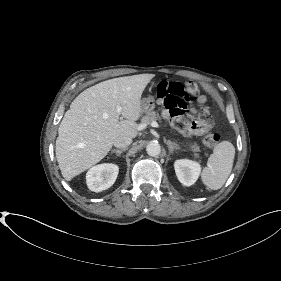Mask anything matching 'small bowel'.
<instances>
[{
    "label": "small bowel",
    "instance_id": "1",
    "mask_svg": "<svg viewBox=\"0 0 281 281\" xmlns=\"http://www.w3.org/2000/svg\"><path fill=\"white\" fill-rule=\"evenodd\" d=\"M197 103L202 107V110L210 115L209 107L207 106V98L204 95H200L197 98ZM163 118L169 120L171 125L182 135L193 136V135H202L206 130L203 127L200 121H193L190 124H184L179 119H174L170 117L167 110H164Z\"/></svg>",
    "mask_w": 281,
    "mask_h": 281
}]
</instances>
